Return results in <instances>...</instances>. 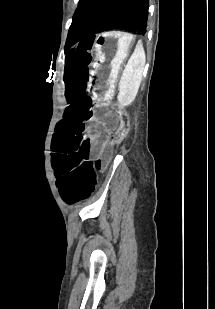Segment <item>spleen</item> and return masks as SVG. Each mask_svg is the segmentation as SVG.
<instances>
[{"label":"spleen","instance_id":"1","mask_svg":"<svg viewBox=\"0 0 215 309\" xmlns=\"http://www.w3.org/2000/svg\"><path fill=\"white\" fill-rule=\"evenodd\" d=\"M146 62L145 50L141 40L131 54L125 70L119 82V94L117 96L121 106H128L133 102L142 80V72Z\"/></svg>","mask_w":215,"mask_h":309}]
</instances>
